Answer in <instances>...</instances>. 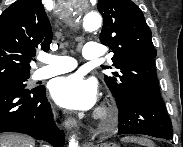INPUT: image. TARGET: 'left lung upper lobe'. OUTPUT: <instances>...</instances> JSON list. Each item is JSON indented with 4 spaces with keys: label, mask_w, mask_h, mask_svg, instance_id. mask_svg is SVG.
Returning <instances> with one entry per match:
<instances>
[{
    "label": "left lung upper lobe",
    "mask_w": 183,
    "mask_h": 147,
    "mask_svg": "<svg viewBox=\"0 0 183 147\" xmlns=\"http://www.w3.org/2000/svg\"><path fill=\"white\" fill-rule=\"evenodd\" d=\"M97 8L104 20L100 41L114 53L112 64L102 66L114 70L104 80L117 105L135 93L160 96L157 52L142 11L131 0H99Z\"/></svg>",
    "instance_id": "obj_1"
}]
</instances>
